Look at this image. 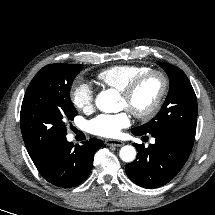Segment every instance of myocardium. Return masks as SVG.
Returning a JSON list of instances; mask_svg holds the SVG:
<instances>
[{"mask_svg": "<svg viewBox=\"0 0 215 215\" xmlns=\"http://www.w3.org/2000/svg\"><path fill=\"white\" fill-rule=\"evenodd\" d=\"M152 77H156L160 81V90L154 102L144 110L129 109L135 117L141 120L151 119L160 110L169 90V78L166 73L158 69H150L134 78L123 90L120 91L122 97L127 100H131L138 89Z\"/></svg>", "mask_w": 215, "mask_h": 215, "instance_id": "f54148a6", "label": "myocardium"}]
</instances>
